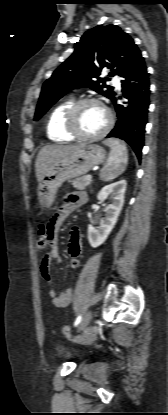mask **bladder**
<instances>
[{
    "label": "bladder",
    "mask_w": 168,
    "mask_h": 415,
    "mask_svg": "<svg viewBox=\"0 0 168 415\" xmlns=\"http://www.w3.org/2000/svg\"><path fill=\"white\" fill-rule=\"evenodd\" d=\"M56 352L58 353V355L66 357V358H71L74 357L76 354L74 352H72L70 349H68L66 347V345H64L63 343H58L55 346Z\"/></svg>",
    "instance_id": "1"
}]
</instances>
